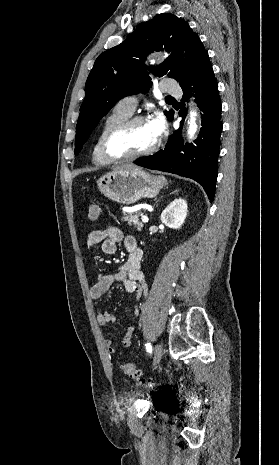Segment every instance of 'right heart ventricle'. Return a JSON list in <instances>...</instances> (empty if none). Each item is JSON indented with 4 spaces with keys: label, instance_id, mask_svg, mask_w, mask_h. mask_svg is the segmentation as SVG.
I'll return each instance as SVG.
<instances>
[{
    "label": "right heart ventricle",
    "instance_id": "1",
    "mask_svg": "<svg viewBox=\"0 0 279 465\" xmlns=\"http://www.w3.org/2000/svg\"><path fill=\"white\" fill-rule=\"evenodd\" d=\"M132 113L127 112L123 108H121L118 104L112 109L109 115L103 121L99 132L97 134L93 150H92V161L95 165L98 166H106L109 165L110 161L105 159L101 153V141L105 135V133L117 123L131 117Z\"/></svg>",
    "mask_w": 279,
    "mask_h": 465
}]
</instances>
